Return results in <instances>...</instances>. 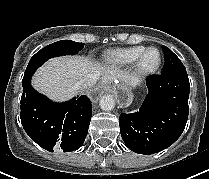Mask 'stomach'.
<instances>
[{
  "label": "stomach",
  "mask_w": 209,
  "mask_h": 179,
  "mask_svg": "<svg viewBox=\"0 0 209 179\" xmlns=\"http://www.w3.org/2000/svg\"><path fill=\"white\" fill-rule=\"evenodd\" d=\"M120 88L123 90V91H125V92H127V93H129V89H128V87L126 86V85H120Z\"/></svg>",
  "instance_id": "obj_1"
}]
</instances>
